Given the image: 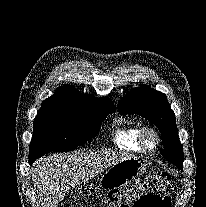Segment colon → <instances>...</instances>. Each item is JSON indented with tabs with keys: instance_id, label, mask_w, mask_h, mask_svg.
Listing matches in <instances>:
<instances>
[{
	"instance_id": "colon-1",
	"label": "colon",
	"mask_w": 206,
	"mask_h": 207,
	"mask_svg": "<svg viewBox=\"0 0 206 207\" xmlns=\"http://www.w3.org/2000/svg\"><path fill=\"white\" fill-rule=\"evenodd\" d=\"M172 183L169 174L158 171L134 181L126 190L109 193L111 207H170Z\"/></svg>"
}]
</instances>
